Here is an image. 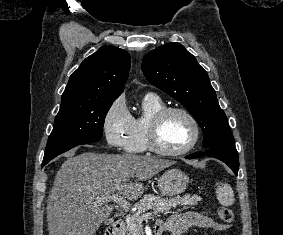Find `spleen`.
I'll use <instances>...</instances> for the list:
<instances>
[{
	"mask_svg": "<svg viewBox=\"0 0 283 235\" xmlns=\"http://www.w3.org/2000/svg\"><path fill=\"white\" fill-rule=\"evenodd\" d=\"M217 188H216V196L219 201V203L222 206H232L235 198H234V193L229 184L226 183H216Z\"/></svg>",
	"mask_w": 283,
	"mask_h": 235,
	"instance_id": "1",
	"label": "spleen"
}]
</instances>
